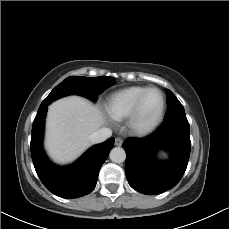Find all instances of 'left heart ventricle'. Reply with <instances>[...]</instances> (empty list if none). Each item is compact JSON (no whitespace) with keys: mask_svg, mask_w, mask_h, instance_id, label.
Masks as SVG:
<instances>
[{"mask_svg":"<svg viewBox=\"0 0 229 229\" xmlns=\"http://www.w3.org/2000/svg\"><path fill=\"white\" fill-rule=\"evenodd\" d=\"M161 106V98L158 92H149L143 100L141 106V121L147 123L158 113Z\"/></svg>","mask_w":229,"mask_h":229,"instance_id":"b2bd125f","label":"left heart ventricle"}]
</instances>
